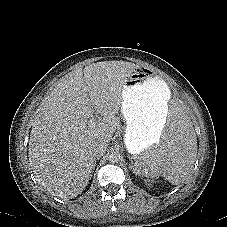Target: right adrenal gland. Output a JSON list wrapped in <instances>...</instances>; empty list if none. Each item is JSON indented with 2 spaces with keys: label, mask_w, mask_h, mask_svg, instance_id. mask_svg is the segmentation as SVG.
Wrapping results in <instances>:
<instances>
[{
  "label": "right adrenal gland",
  "mask_w": 227,
  "mask_h": 227,
  "mask_svg": "<svg viewBox=\"0 0 227 227\" xmlns=\"http://www.w3.org/2000/svg\"><path fill=\"white\" fill-rule=\"evenodd\" d=\"M97 160H99V158L95 159V161H94L93 172H94Z\"/></svg>",
  "instance_id": "obj_1"
}]
</instances>
